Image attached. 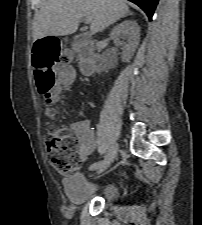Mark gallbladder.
<instances>
[{
	"label": "gallbladder",
	"mask_w": 202,
	"mask_h": 225,
	"mask_svg": "<svg viewBox=\"0 0 202 225\" xmlns=\"http://www.w3.org/2000/svg\"><path fill=\"white\" fill-rule=\"evenodd\" d=\"M78 42H80V39H79V37H76V38L74 39V43H78Z\"/></svg>",
	"instance_id": "gallbladder-1"
}]
</instances>
